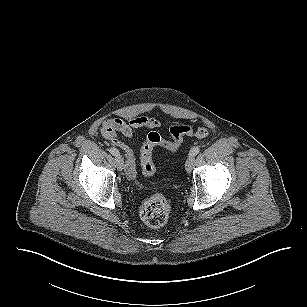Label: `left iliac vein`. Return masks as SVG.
<instances>
[{"mask_svg": "<svg viewBox=\"0 0 307 307\" xmlns=\"http://www.w3.org/2000/svg\"><path fill=\"white\" fill-rule=\"evenodd\" d=\"M194 168V156H189L186 160L185 169L188 173H190Z\"/></svg>", "mask_w": 307, "mask_h": 307, "instance_id": "4c4485c4", "label": "left iliac vein"}]
</instances>
